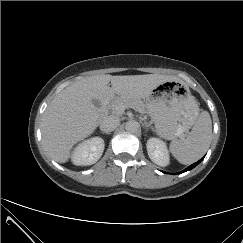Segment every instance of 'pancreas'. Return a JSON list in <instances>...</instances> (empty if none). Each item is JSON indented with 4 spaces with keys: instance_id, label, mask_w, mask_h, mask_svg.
I'll use <instances>...</instances> for the list:
<instances>
[{
    "instance_id": "obj_1",
    "label": "pancreas",
    "mask_w": 243,
    "mask_h": 243,
    "mask_svg": "<svg viewBox=\"0 0 243 243\" xmlns=\"http://www.w3.org/2000/svg\"><path fill=\"white\" fill-rule=\"evenodd\" d=\"M119 105H124L126 108L130 107L140 112H143L145 110V106L141 101L125 99L122 97H117L110 101L107 108L112 112V114L118 115L119 113L116 111V107H118Z\"/></svg>"
}]
</instances>
